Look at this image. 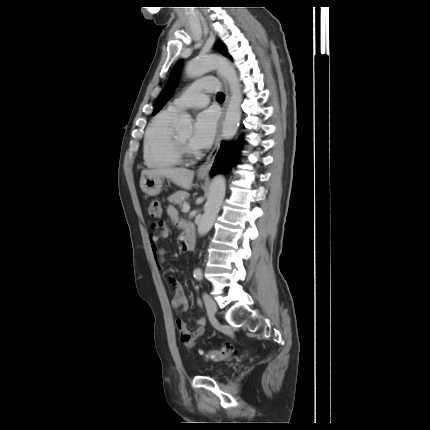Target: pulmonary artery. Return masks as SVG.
<instances>
[{
  "mask_svg": "<svg viewBox=\"0 0 430 430\" xmlns=\"http://www.w3.org/2000/svg\"><path fill=\"white\" fill-rule=\"evenodd\" d=\"M217 83L211 78H202L191 84L168 109L180 112L189 108H203L209 103L208 93L216 90Z\"/></svg>",
  "mask_w": 430,
  "mask_h": 430,
  "instance_id": "e3ab8cb5",
  "label": "pulmonary artery"
}]
</instances>
